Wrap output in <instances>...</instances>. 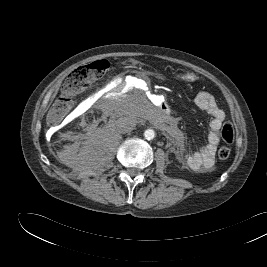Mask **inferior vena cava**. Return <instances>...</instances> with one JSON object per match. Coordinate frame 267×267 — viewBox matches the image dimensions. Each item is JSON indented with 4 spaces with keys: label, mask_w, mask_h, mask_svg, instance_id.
I'll use <instances>...</instances> for the list:
<instances>
[{
    "label": "inferior vena cava",
    "mask_w": 267,
    "mask_h": 267,
    "mask_svg": "<svg viewBox=\"0 0 267 267\" xmlns=\"http://www.w3.org/2000/svg\"><path fill=\"white\" fill-rule=\"evenodd\" d=\"M137 120L132 116H123L116 121L117 128L122 132H130L135 129Z\"/></svg>",
    "instance_id": "inferior-vena-cava-1"
}]
</instances>
